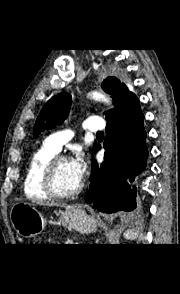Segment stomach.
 Segmentation results:
<instances>
[{"mask_svg": "<svg viewBox=\"0 0 180 294\" xmlns=\"http://www.w3.org/2000/svg\"><path fill=\"white\" fill-rule=\"evenodd\" d=\"M10 217L14 229L23 238L36 237L45 228L43 216L29 203H15L11 208ZM61 221L81 233L94 231L97 223L92 215L79 207L67 208L62 213Z\"/></svg>", "mask_w": 180, "mask_h": 294, "instance_id": "obj_1", "label": "stomach"}]
</instances>
